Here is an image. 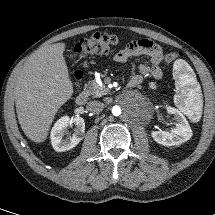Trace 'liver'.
Here are the masks:
<instances>
[{
    "instance_id": "6515ba94",
    "label": "liver",
    "mask_w": 215,
    "mask_h": 215,
    "mask_svg": "<svg viewBox=\"0 0 215 215\" xmlns=\"http://www.w3.org/2000/svg\"><path fill=\"white\" fill-rule=\"evenodd\" d=\"M64 50V43L38 49L13 78L19 124L36 143L45 141L58 109L73 95Z\"/></svg>"
}]
</instances>
